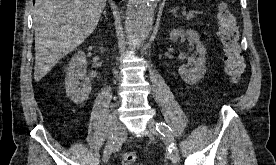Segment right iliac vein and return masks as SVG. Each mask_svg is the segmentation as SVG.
I'll use <instances>...</instances> for the list:
<instances>
[{"instance_id":"1","label":"right iliac vein","mask_w":276,"mask_h":165,"mask_svg":"<svg viewBox=\"0 0 276 165\" xmlns=\"http://www.w3.org/2000/svg\"><path fill=\"white\" fill-rule=\"evenodd\" d=\"M122 127L118 122L116 114L113 112L109 116V134L108 140L103 153V160L107 162L113 151L118 150L122 140Z\"/></svg>"}]
</instances>
